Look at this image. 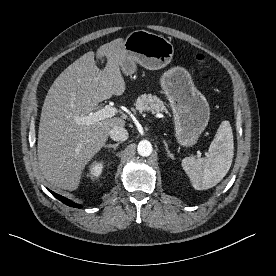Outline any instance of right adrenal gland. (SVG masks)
<instances>
[{
  "mask_svg": "<svg viewBox=\"0 0 276 276\" xmlns=\"http://www.w3.org/2000/svg\"><path fill=\"white\" fill-rule=\"evenodd\" d=\"M118 146H119V142L115 144H107L104 146V148H112L113 150H116Z\"/></svg>",
  "mask_w": 276,
  "mask_h": 276,
  "instance_id": "2a0ac1e0",
  "label": "right adrenal gland"
}]
</instances>
